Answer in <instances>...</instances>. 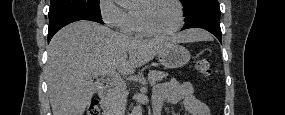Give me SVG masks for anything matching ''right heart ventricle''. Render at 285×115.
Listing matches in <instances>:
<instances>
[{"label": "right heart ventricle", "instance_id": "e07e8e85", "mask_svg": "<svg viewBox=\"0 0 285 115\" xmlns=\"http://www.w3.org/2000/svg\"><path fill=\"white\" fill-rule=\"evenodd\" d=\"M129 15H130V25H129L130 32H134L140 36L146 35L139 25L137 13L132 11L129 13Z\"/></svg>", "mask_w": 285, "mask_h": 115}]
</instances>
